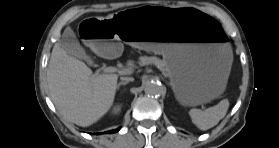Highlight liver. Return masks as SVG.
Returning <instances> with one entry per match:
<instances>
[{"label":"liver","mask_w":279,"mask_h":148,"mask_svg":"<svg viewBox=\"0 0 279 148\" xmlns=\"http://www.w3.org/2000/svg\"><path fill=\"white\" fill-rule=\"evenodd\" d=\"M91 49L100 55L95 48ZM134 63L127 62L119 74L131 75ZM118 74L92 73L82 61L70 56L59 43L53 47L47 69L50 98L67 121L88 127L104 116L112 106Z\"/></svg>","instance_id":"6515ba94"}]
</instances>
